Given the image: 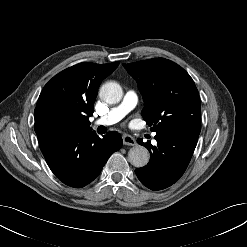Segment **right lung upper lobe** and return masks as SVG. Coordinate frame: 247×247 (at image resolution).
<instances>
[{
    "label": "right lung upper lobe",
    "mask_w": 247,
    "mask_h": 247,
    "mask_svg": "<svg viewBox=\"0 0 247 247\" xmlns=\"http://www.w3.org/2000/svg\"><path fill=\"white\" fill-rule=\"evenodd\" d=\"M118 65L83 62L55 75L43 88L35 108L34 129L39 144L58 121H67L76 130H91L89 116L93 114L98 86Z\"/></svg>",
    "instance_id": "cb5924a9"
}]
</instances>
